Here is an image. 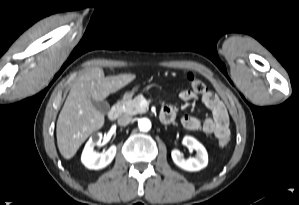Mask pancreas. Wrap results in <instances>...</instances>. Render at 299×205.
Listing matches in <instances>:
<instances>
[{
  "instance_id": "pancreas-1",
  "label": "pancreas",
  "mask_w": 299,
  "mask_h": 205,
  "mask_svg": "<svg viewBox=\"0 0 299 205\" xmlns=\"http://www.w3.org/2000/svg\"><path fill=\"white\" fill-rule=\"evenodd\" d=\"M143 95H138L134 99H130L126 101L123 105H121V110L126 115H136L146 112L145 107H140V103L144 100Z\"/></svg>"
}]
</instances>
